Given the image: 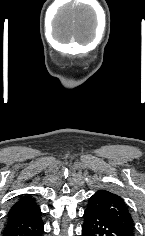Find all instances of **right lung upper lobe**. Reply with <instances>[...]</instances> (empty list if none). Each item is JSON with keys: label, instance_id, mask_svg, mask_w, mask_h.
Wrapping results in <instances>:
<instances>
[{"label": "right lung upper lobe", "instance_id": "1", "mask_svg": "<svg viewBox=\"0 0 145 236\" xmlns=\"http://www.w3.org/2000/svg\"><path fill=\"white\" fill-rule=\"evenodd\" d=\"M38 207L34 198L29 196L21 198L15 205H13L9 211L8 217L17 214L22 211L34 209Z\"/></svg>", "mask_w": 145, "mask_h": 236}]
</instances>
